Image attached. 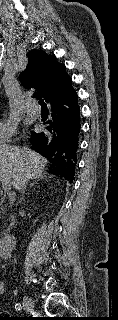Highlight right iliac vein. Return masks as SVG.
Here are the masks:
<instances>
[{
  "label": "right iliac vein",
  "instance_id": "obj_1",
  "mask_svg": "<svg viewBox=\"0 0 118 320\" xmlns=\"http://www.w3.org/2000/svg\"><path fill=\"white\" fill-rule=\"evenodd\" d=\"M23 305L25 310L29 313H31L34 310V302L28 295H25L23 297Z\"/></svg>",
  "mask_w": 118,
  "mask_h": 320
}]
</instances>
